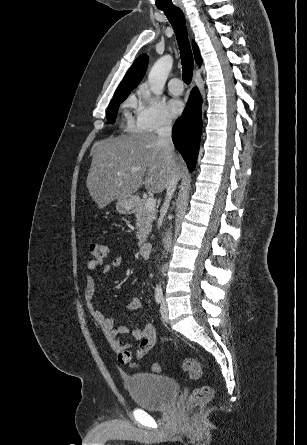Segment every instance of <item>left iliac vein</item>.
I'll return each mask as SVG.
<instances>
[{
    "label": "left iliac vein",
    "mask_w": 307,
    "mask_h": 445,
    "mask_svg": "<svg viewBox=\"0 0 307 445\" xmlns=\"http://www.w3.org/2000/svg\"><path fill=\"white\" fill-rule=\"evenodd\" d=\"M161 317L164 321H168L169 313L166 301L163 299L161 308H160Z\"/></svg>",
    "instance_id": "1"
}]
</instances>
